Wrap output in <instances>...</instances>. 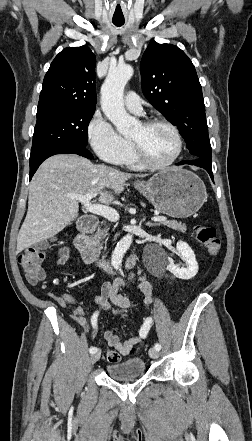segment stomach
Segmentation results:
<instances>
[{
    "label": "stomach",
    "mask_w": 252,
    "mask_h": 441,
    "mask_svg": "<svg viewBox=\"0 0 252 441\" xmlns=\"http://www.w3.org/2000/svg\"><path fill=\"white\" fill-rule=\"evenodd\" d=\"M151 204L162 213L186 218L196 213L207 198L203 181L193 172L171 167L135 184Z\"/></svg>",
    "instance_id": "1"
}]
</instances>
